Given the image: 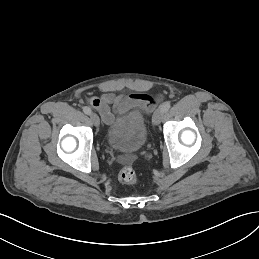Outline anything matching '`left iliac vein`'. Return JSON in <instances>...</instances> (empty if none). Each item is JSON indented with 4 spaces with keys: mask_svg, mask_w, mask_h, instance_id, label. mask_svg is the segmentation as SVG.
I'll return each mask as SVG.
<instances>
[{
    "mask_svg": "<svg viewBox=\"0 0 259 259\" xmlns=\"http://www.w3.org/2000/svg\"><path fill=\"white\" fill-rule=\"evenodd\" d=\"M163 114H164V112L161 109H159L155 112V114L153 116L154 125H158L161 122V120L163 118Z\"/></svg>",
    "mask_w": 259,
    "mask_h": 259,
    "instance_id": "obj_1",
    "label": "left iliac vein"
}]
</instances>
